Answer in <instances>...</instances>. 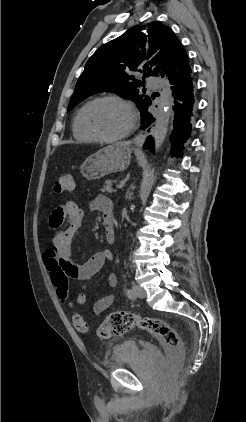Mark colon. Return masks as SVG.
Here are the masks:
<instances>
[{
    "label": "colon",
    "instance_id": "obj_1",
    "mask_svg": "<svg viewBox=\"0 0 246 422\" xmlns=\"http://www.w3.org/2000/svg\"><path fill=\"white\" fill-rule=\"evenodd\" d=\"M74 187L71 174L63 173L56 177L54 191L56 193L70 192ZM52 284L56 289L60 300L68 298V270L57 256H52L47 262ZM85 301V294L81 292L77 297L78 305ZM72 322L74 327L81 333H87L89 327L81 314L73 312ZM133 328H140L152 334L168 351L171 363L174 366L181 365L185 352L183 343L175 328L168 322L154 317H141L136 314L124 311L110 313L99 325L97 335L102 339H108L115 335H123Z\"/></svg>",
    "mask_w": 246,
    "mask_h": 422
}]
</instances>
